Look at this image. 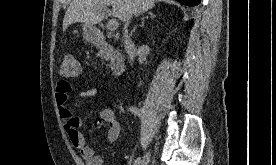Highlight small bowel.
Returning a JSON list of instances; mask_svg holds the SVG:
<instances>
[{
    "mask_svg": "<svg viewBox=\"0 0 276 165\" xmlns=\"http://www.w3.org/2000/svg\"><path fill=\"white\" fill-rule=\"evenodd\" d=\"M72 86L67 81H59L55 89V100L59 109L60 119L67 137L74 148H76L85 161V165H103L102 158L86 144L83 134L80 132L81 119L76 116L74 109L69 104V94ZM98 95L97 88L81 89L77 96L81 99H91ZM88 104L96 105L94 101L88 100ZM98 118L93 120L91 127L97 128L102 122L108 124L107 138L109 142H115L120 134V123L114 111L108 106H97Z\"/></svg>",
    "mask_w": 276,
    "mask_h": 165,
    "instance_id": "c3829d8e",
    "label": "small bowel"
}]
</instances>
